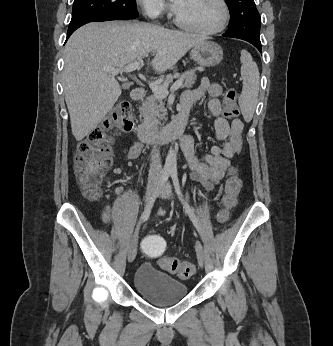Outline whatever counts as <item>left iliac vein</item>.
I'll list each match as a JSON object with an SVG mask.
<instances>
[{
	"instance_id": "1",
	"label": "left iliac vein",
	"mask_w": 333,
	"mask_h": 346,
	"mask_svg": "<svg viewBox=\"0 0 333 346\" xmlns=\"http://www.w3.org/2000/svg\"><path fill=\"white\" fill-rule=\"evenodd\" d=\"M170 196H171V187H170V184L167 183L166 186L160 192V197L163 200H167L170 198ZM195 250H196L198 263L201 267H203L205 255H204L203 246L199 241H196V243H195Z\"/></svg>"
}]
</instances>
